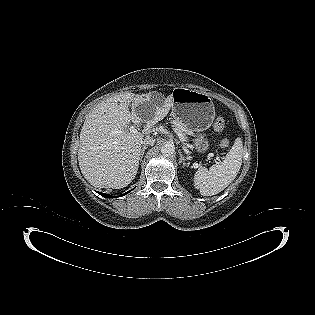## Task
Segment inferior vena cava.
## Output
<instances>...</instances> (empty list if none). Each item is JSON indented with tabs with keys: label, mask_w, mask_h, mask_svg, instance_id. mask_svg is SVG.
Returning a JSON list of instances; mask_svg holds the SVG:
<instances>
[{
	"label": "inferior vena cava",
	"mask_w": 315,
	"mask_h": 315,
	"mask_svg": "<svg viewBox=\"0 0 315 315\" xmlns=\"http://www.w3.org/2000/svg\"><path fill=\"white\" fill-rule=\"evenodd\" d=\"M155 142V140L151 139V138H146V139H143L141 144L143 145H153Z\"/></svg>",
	"instance_id": "inferior-vena-cava-1"
}]
</instances>
